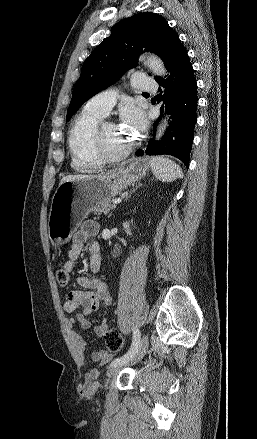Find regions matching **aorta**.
Segmentation results:
<instances>
[{"label":"aorta","instance_id":"1","mask_svg":"<svg viewBox=\"0 0 257 439\" xmlns=\"http://www.w3.org/2000/svg\"><path fill=\"white\" fill-rule=\"evenodd\" d=\"M146 63L154 74L156 75L165 74V67L163 65V62L157 56L155 55L147 56ZM166 126H167V121L164 120L158 128L157 131L158 135H161L164 132Z\"/></svg>","mask_w":257,"mask_h":439}]
</instances>
